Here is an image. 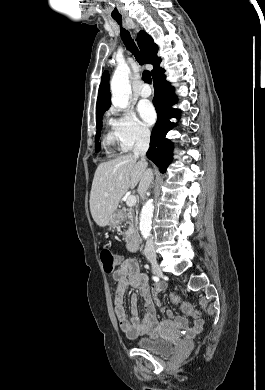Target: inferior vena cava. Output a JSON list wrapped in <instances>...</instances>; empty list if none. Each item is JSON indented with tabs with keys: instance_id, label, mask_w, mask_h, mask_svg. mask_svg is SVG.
<instances>
[{
	"instance_id": "inferior-vena-cava-1",
	"label": "inferior vena cava",
	"mask_w": 265,
	"mask_h": 390,
	"mask_svg": "<svg viewBox=\"0 0 265 390\" xmlns=\"http://www.w3.org/2000/svg\"><path fill=\"white\" fill-rule=\"evenodd\" d=\"M149 142H150V134L149 132H140L138 139L136 141L135 147H134V155L135 156H140L141 160L147 164L145 160V154L149 148ZM153 179V172L151 169H146L144 172V175L140 181L138 192L140 195L143 197L145 192L150 186V183ZM145 256H155L156 251H155V246H154V241L152 238H148L145 249H144Z\"/></svg>"
}]
</instances>
